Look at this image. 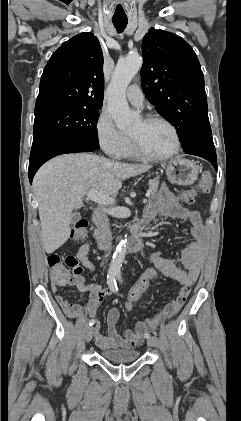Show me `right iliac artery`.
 I'll use <instances>...</instances> for the list:
<instances>
[{"mask_svg": "<svg viewBox=\"0 0 241 421\" xmlns=\"http://www.w3.org/2000/svg\"><path fill=\"white\" fill-rule=\"evenodd\" d=\"M115 277H116L115 271L109 270V272L107 274V283H108L109 288L112 292L118 291V287H117ZM94 323H95V320H93V319L89 320V326H92Z\"/></svg>", "mask_w": 241, "mask_h": 421, "instance_id": "right-iliac-artery-1", "label": "right iliac artery"}]
</instances>
